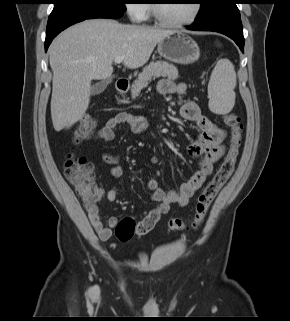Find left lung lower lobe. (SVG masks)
<instances>
[{"mask_svg": "<svg viewBox=\"0 0 290 321\" xmlns=\"http://www.w3.org/2000/svg\"><path fill=\"white\" fill-rule=\"evenodd\" d=\"M239 0H233L212 16L195 21L188 29L194 31H214L222 33L235 41L244 52L243 28L240 12L236 6Z\"/></svg>", "mask_w": 290, "mask_h": 321, "instance_id": "obj_1", "label": "left lung lower lobe"}]
</instances>
